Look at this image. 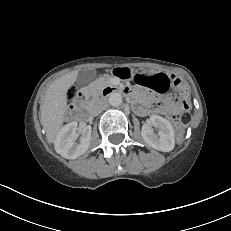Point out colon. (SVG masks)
<instances>
[{"label": "colon", "mask_w": 231, "mask_h": 231, "mask_svg": "<svg viewBox=\"0 0 231 231\" xmlns=\"http://www.w3.org/2000/svg\"><path fill=\"white\" fill-rule=\"evenodd\" d=\"M175 85H180L179 80H175ZM75 94L74 91H71V96ZM180 105L185 108L186 110L189 109V100L186 95H181L178 99ZM186 117L187 115H181V116H174L173 117V122L176 128V139L178 142L182 141L183 136H184V130L186 126Z\"/></svg>", "instance_id": "1"}]
</instances>
